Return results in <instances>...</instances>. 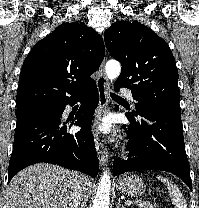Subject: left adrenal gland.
Instances as JSON below:
<instances>
[{
  "instance_id": "1",
  "label": "left adrenal gland",
  "mask_w": 199,
  "mask_h": 208,
  "mask_svg": "<svg viewBox=\"0 0 199 208\" xmlns=\"http://www.w3.org/2000/svg\"><path fill=\"white\" fill-rule=\"evenodd\" d=\"M120 206H121V200L119 199L118 203L116 204V208H119ZM122 208H124V207H122Z\"/></svg>"
}]
</instances>
